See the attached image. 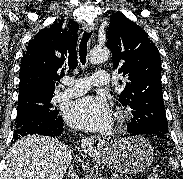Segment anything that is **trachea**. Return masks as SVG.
Returning <instances> with one entry per match:
<instances>
[{"label":"trachea","mask_w":183,"mask_h":179,"mask_svg":"<svg viewBox=\"0 0 183 179\" xmlns=\"http://www.w3.org/2000/svg\"><path fill=\"white\" fill-rule=\"evenodd\" d=\"M90 36H91V33L84 32L82 39L80 41L79 56H80V60H81L83 65H85V62H86L87 43H88Z\"/></svg>","instance_id":"1"}]
</instances>
